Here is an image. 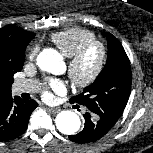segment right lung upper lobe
Masks as SVG:
<instances>
[{
	"instance_id": "cb5924a9",
	"label": "right lung upper lobe",
	"mask_w": 153,
	"mask_h": 153,
	"mask_svg": "<svg viewBox=\"0 0 153 153\" xmlns=\"http://www.w3.org/2000/svg\"><path fill=\"white\" fill-rule=\"evenodd\" d=\"M35 34L9 25L0 28V99L11 95L12 81L3 73L5 68H18L25 60V48Z\"/></svg>"
}]
</instances>
